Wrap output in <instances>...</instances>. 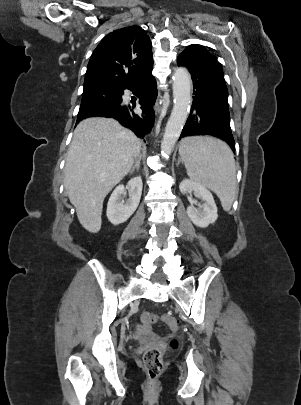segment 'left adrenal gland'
I'll return each mask as SVG.
<instances>
[{
    "label": "left adrenal gland",
    "mask_w": 301,
    "mask_h": 405,
    "mask_svg": "<svg viewBox=\"0 0 301 405\" xmlns=\"http://www.w3.org/2000/svg\"><path fill=\"white\" fill-rule=\"evenodd\" d=\"M180 162H182L181 158L178 159V165L180 164Z\"/></svg>",
    "instance_id": "obj_1"
}]
</instances>
